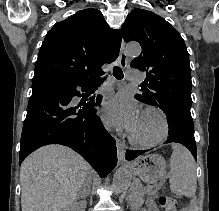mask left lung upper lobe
I'll return each instance as SVG.
<instances>
[{"mask_svg":"<svg viewBox=\"0 0 219 211\" xmlns=\"http://www.w3.org/2000/svg\"><path fill=\"white\" fill-rule=\"evenodd\" d=\"M121 32L126 42L137 41L142 47L130 64L147 71L143 90L135 98L157 106L167 119L193 121L189 54L179 32L162 17L139 8L128 14Z\"/></svg>","mask_w":219,"mask_h":211,"instance_id":"left-lung-upper-lobe-1","label":"left lung upper lobe"}]
</instances>
